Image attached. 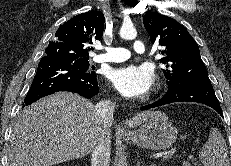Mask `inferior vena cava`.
Returning a JSON list of instances; mask_svg holds the SVG:
<instances>
[{
    "label": "inferior vena cava",
    "instance_id": "1",
    "mask_svg": "<svg viewBox=\"0 0 231 166\" xmlns=\"http://www.w3.org/2000/svg\"><path fill=\"white\" fill-rule=\"evenodd\" d=\"M115 104L110 100L99 102L95 106L97 115L102 119L105 130L102 133L101 140L97 143L91 156V166H109L110 162V127L113 121Z\"/></svg>",
    "mask_w": 231,
    "mask_h": 166
}]
</instances>
